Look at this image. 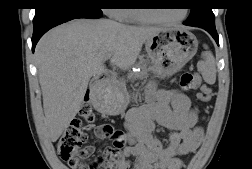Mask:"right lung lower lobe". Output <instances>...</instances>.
Segmentation results:
<instances>
[{"label":"right lung lower lobe","instance_id":"98d812e1","mask_svg":"<svg viewBox=\"0 0 252 169\" xmlns=\"http://www.w3.org/2000/svg\"><path fill=\"white\" fill-rule=\"evenodd\" d=\"M72 0H54L56 4L71 2ZM102 16L101 13H96L77 6H56L40 14H35L33 19V37L32 51L41 36L49 29L60 25L64 22L77 18L97 19Z\"/></svg>","mask_w":252,"mask_h":169}]
</instances>
